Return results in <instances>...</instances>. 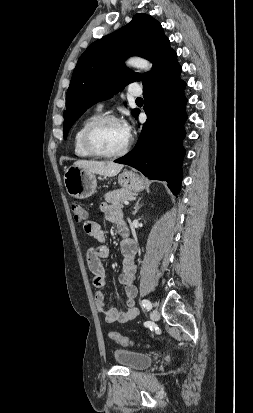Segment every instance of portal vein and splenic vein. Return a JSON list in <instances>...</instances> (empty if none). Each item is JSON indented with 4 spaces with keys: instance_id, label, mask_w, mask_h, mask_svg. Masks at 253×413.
Segmentation results:
<instances>
[{
    "instance_id": "obj_1",
    "label": "portal vein and splenic vein",
    "mask_w": 253,
    "mask_h": 413,
    "mask_svg": "<svg viewBox=\"0 0 253 413\" xmlns=\"http://www.w3.org/2000/svg\"><path fill=\"white\" fill-rule=\"evenodd\" d=\"M124 204H125V205H128V204H129V201H128V200H125V201H124Z\"/></svg>"
}]
</instances>
